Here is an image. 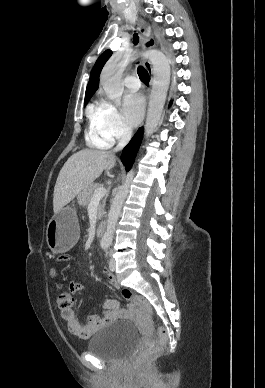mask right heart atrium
<instances>
[{
    "instance_id": "right-heart-atrium-1",
    "label": "right heart atrium",
    "mask_w": 265,
    "mask_h": 388,
    "mask_svg": "<svg viewBox=\"0 0 265 388\" xmlns=\"http://www.w3.org/2000/svg\"><path fill=\"white\" fill-rule=\"evenodd\" d=\"M96 114L101 132L109 139H122L131 133V127L124 120L117 107L108 100L96 104Z\"/></svg>"
}]
</instances>
